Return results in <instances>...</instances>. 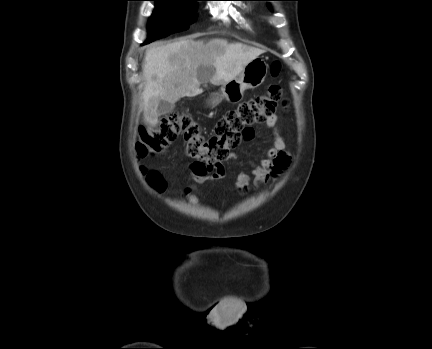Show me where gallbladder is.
Here are the masks:
<instances>
[{"mask_svg": "<svg viewBox=\"0 0 432 349\" xmlns=\"http://www.w3.org/2000/svg\"><path fill=\"white\" fill-rule=\"evenodd\" d=\"M175 108V104L168 102L166 100H159L157 113L159 115H166L170 112H172Z\"/></svg>", "mask_w": 432, "mask_h": 349, "instance_id": "gallbladder-1", "label": "gallbladder"}]
</instances>
